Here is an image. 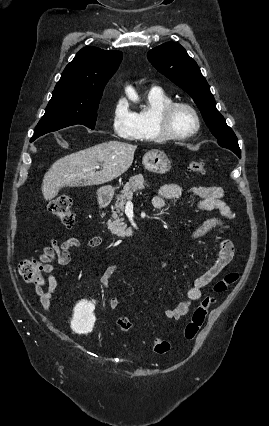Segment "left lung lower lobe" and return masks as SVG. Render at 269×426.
<instances>
[{
    "label": "left lung lower lobe",
    "mask_w": 269,
    "mask_h": 426,
    "mask_svg": "<svg viewBox=\"0 0 269 426\" xmlns=\"http://www.w3.org/2000/svg\"><path fill=\"white\" fill-rule=\"evenodd\" d=\"M235 154H237L239 157H241V152H236Z\"/></svg>",
    "instance_id": "left-lung-lower-lobe-1"
}]
</instances>
